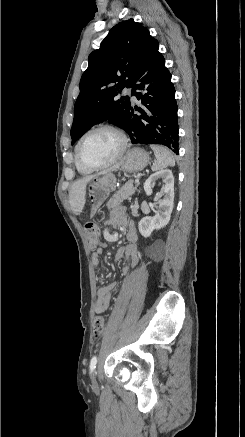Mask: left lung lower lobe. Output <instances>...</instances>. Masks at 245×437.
<instances>
[{"label": "left lung lower lobe", "instance_id": "left-lung-lower-lobe-1", "mask_svg": "<svg viewBox=\"0 0 245 437\" xmlns=\"http://www.w3.org/2000/svg\"><path fill=\"white\" fill-rule=\"evenodd\" d=\"M158 49L159 45L151 50L132 86V95L141 100L145 109L135 107L142 115H134V108L130 107L125 131L133 144H160L178 154L175 89Z\"/></svg>", "mask_w": 245, "mask_h": 437}]
</instances>
